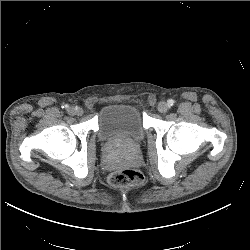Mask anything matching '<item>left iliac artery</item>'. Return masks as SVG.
<instances>
[{
	"label": "left iliac artery",
	"mask_w": 250,
	"mask_h": 250,
	"mask_svg": "<svg viewBox=\"0 0 250 250\" xmlns=\"http://www.w3.org/2000/svg\"><path fill=\"white\" fill-rule=\"evenodd\" d=\"M167 103H168L169 106H173L174 103H175V101H174L173 99H169V100L167 101Z\"/></svg>",
	"instance_id": "1"
}]
</instances>
